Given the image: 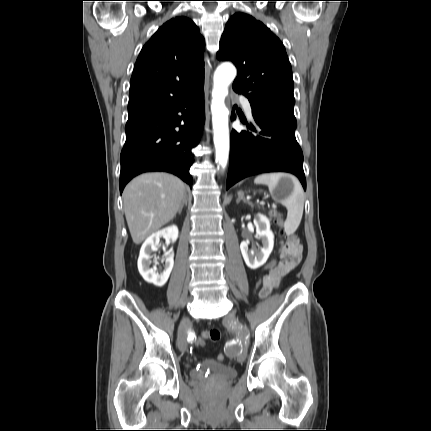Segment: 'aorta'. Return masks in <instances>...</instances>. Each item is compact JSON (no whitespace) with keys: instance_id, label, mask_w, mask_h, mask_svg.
Masks as SVG:
<instances>
[{"instance_id":"1","label":"aorta","mask_w":431,"mask_h":431,"mask_svg":"<svg viewBox=\"0 0 431 431\" xmlns=\"http://www.w3.org/2000/svg\"><path fill=\"white\" fill-rule=\"evenodd\" d=\"M235 77V67L230 63H223L217 67L213 79L211 111L214 145L216 162L223 168L226 167L229 157V111L225 106V97L228 95V87Z\"/></svg>"}]
</instances>
